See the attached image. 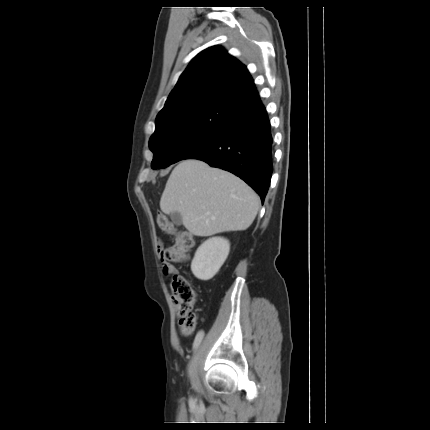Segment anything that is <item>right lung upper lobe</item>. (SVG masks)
Here are the masks:
<instances>
[{"instance_id": "obj_1", "label": "right lung upper lobe", "mask_w": 430, "mask_h": 430, "mask_svg": "<svg viewBox=\"0 0 430 430\" xmlns=\"http://www.w3.org/2000/svg\"><path fill=\"white\" fill-rule=\"evenodd\" d=\"M258 99L246 66L216 45L192 59L156 120L206 100H224L239 114Z\"/></svg>"}]
</instances>
